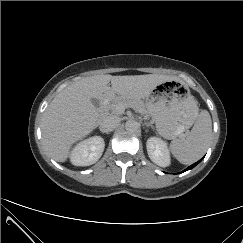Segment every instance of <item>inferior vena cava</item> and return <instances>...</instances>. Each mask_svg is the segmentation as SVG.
<instances>
[{
  "mask_svg": "<svg viewBox=\"0 0 243 243\" xmlns=\"http://www.w3.org/2000/svg\"><path fill=\"white\" fill-rule=\"evenodd\" d=\"M119 118L114 115H109L105 117L100 123L101 131L108 133L113 131L119 125Z\"/></svg>",
  "mask_w": 243,
  "mask_h": 243,
  "instance_id": "inferior-vena-cava-1",
  "label": "inferior vena cava"
}]
</instances>
